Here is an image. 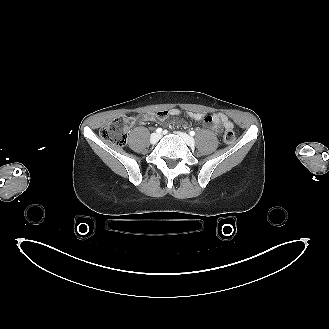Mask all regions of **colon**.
<instances>
[{
	"label": "colon",
	"mask_w": 329,
	"mask_h": 329,
	"mask_svg": "<svg viewBox=\"0 0 329 329\" xmlns=\"http://www.w3.org/2000/svg\"><path fill=\"white\" fill-rule=\"evenodd\" d=\"M130 117H119L105 124L100 130V136L103 140L109 141L117 146H123L127 140V127L131 123ZM236 139L235 132L227 130L224 133V141L233 143Z\"/></svg>",
	"instance_id": "1"
}]
</instances>
